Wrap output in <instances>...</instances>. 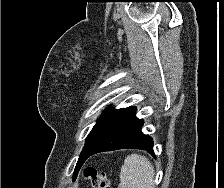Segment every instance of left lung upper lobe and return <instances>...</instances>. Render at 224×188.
<instances>
[{"label":"left lung upper lobe","instance_id":"1","mask_svg":"<svg viewBox=\"0 0 224 188\" xmlns=\"http://www.w3.org/2000/svg\"><path fill=\"white\" fill-rule=\"evenodd\" d=\"M128 108L122 109H107L104 111L100 119L97 121L91 132L86 138L85 146L80 154V157L84 156L89 151L93 150L96 145L101 141L104 135L114 126L118 118L127 110ZM79 157V158H80ZM79 160V159H78ZM82 165L75 168L79 169Z\"/></svg>","mask_w":224,"mask_h":188}]
</instances>
